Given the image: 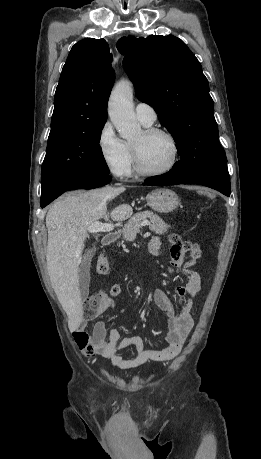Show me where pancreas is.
Listing matches in <instances>:
<instances>
[{
	"mask_svg": "<svg viewBox=\"0 0 261 459\" xmlns=\"http://www.w3.org/2000/svg\"><path fill=\"white\" fill-rule=\"evenodd\" d=\"M149 218L150 219V230L157 234H165L170 228V225L166 224L157 214L151 211H143L136 213L124 226L122 234L123 238L127 241H133L136 238L137 233L140 231L141 223Z\"/></svg>",
	"mask_w": 261,
	"mask_h": 459,
	"instance_id": "obj_1",
	"label": "pancreas"
}]
</instances>
